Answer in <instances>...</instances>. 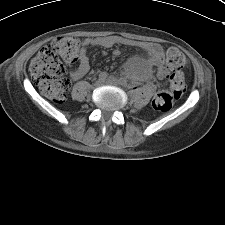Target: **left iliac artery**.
Here are the masks:
<instances>
[{"label":"left iliac artery","mask_w":225,"mask_h":225,"mask_svg":"<svg viewBox=\"0 0 225 225\" xmlns=\"http://www.w3.org/2000/svg\"><path fill=\"white\" fill-rule=\"evenodd\" d=\"M119 82H120L121 85L127 86V80L125 78H120Z\"/></svg>","instance_id":"44dca946"}]
</instances>
